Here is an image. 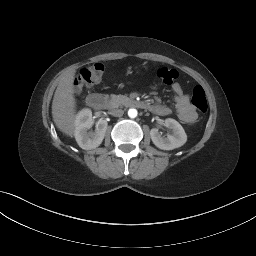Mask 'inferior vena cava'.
<instances>
[{
  "label": "inferior vena cava",
  "instance_id": "obj_1",
  "mask_svg": "<svg viewBox=\"0 0 256 256\" xmlns=\"http://www.w3.org/2000/svg\"><path fill=\"white\" fill-rule=\"evenodd\" d=\"M124 114V111L122 109H113L111 111V115L115 117H121Z\"/></svg>",
  "mask_w": 256,
  "mask_h": 256
}]
</instances>
